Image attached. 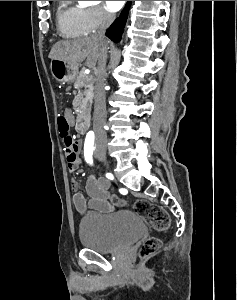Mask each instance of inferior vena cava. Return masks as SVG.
Instances as JSON below:
<instances>
[{
	"label": "inferior vena cava",
	"mask_w": 237,
	"mask_h": 300,
	"mask_svg": "<svg viewBox=\"0 0 237 300\" xmlns=\"http://www.w3.org/2000/svg\"><path fill=\"white\" fill-rule=\"evenodd\" d=\"M115 21L114 13L104 11L101 25L97 31L93 33V39L101 41L102 47L99 53L98 67L96 69V79L94 87V133L96 139H104L106 141V133L103 129L106 119V105H105V77H106V59H107V45H105L106 29Z\"/></svg>",
	"instance_id": "602c4592"
}]
</instances>
